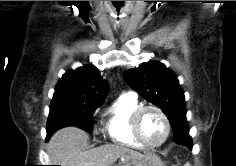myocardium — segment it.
<instances>
[{
	"label": "myocardium",
	"instance_id": "1",
	"mask_svg": "<svg viewBox=\"0 0 236 166\" xmlns=\"http://www.w3.org/2000/svg\"><path fill=\"white\" fill-rule=\"evenodd\" d=\"M149 110H153V111L157 112L160 115V117L163 119L164 125H165V133H164L163 138L161 139V141H159L158 143H155V144L147 143L144 140V138L142 137L141 132H140L141 118H142L143 114ZM131 130H132V134H133L134 138L138 141V143L142 147L147 148V149H155V148L160 147L161 145H163L167 141V139L170 135L171 125H170L167 115L159 106L146 105V106L139 107L133 113V115L131 117Z\"/></svg>",
	"mask_w": 236,
	"mask_h": 166
}]
</instances>
